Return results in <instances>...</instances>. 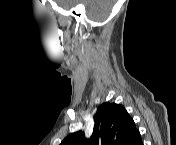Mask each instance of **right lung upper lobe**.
Masks as SVG:
<instances>
[{"label": "right lung upper lobe", "instance_id": "cb5924a9", "mask_svg": "<svg viewBox=\"0 0 176 145\" xmlns=\"http://www.w3.org/2000/svg\"><path fill=\"white\" fill-rule=\"evenodd\" d=\"M93 134L85 139L79 131L69 134L61 145H141L139 131L124 106L103 103L94 116Z\"/></svg>", "mask_w": 176, "mask_h": 145}]
</instances>
